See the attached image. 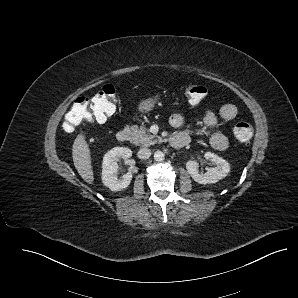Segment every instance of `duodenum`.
Instances as JSON below:
<instances>
[{
    "label": "duodenum",
    "mask_w": 298,
    "mask_h": 298,
    "mask_svg": "<svg viewBox=\"0 0 298 298\" xmlns=\"http://www.w3.org/2000/svg\"><path fill=\"white\" fill-rule=\"evenodd\" d=\"M131 132L127 128H123L117 133V140L121 143H127L130 141ZM190 142L188 135L179 133L175 134L170 139V144L173 148L180 149L185 147Z\"/></svg>",
    "instance_id": "obj_1"
}]
</instances>
